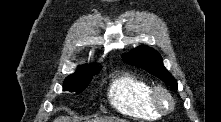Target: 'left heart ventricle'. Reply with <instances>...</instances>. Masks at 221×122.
<instances>
[{"label":"left heart ventricle","instance_id":"obj_1","mask_svg":"<svg viewBox=\"0 0 221 122\" xmlns=\"http://www.w3.org/2000/svg\"><path fill=\"white\" fill-rule=\"evenodd\" d=\"M163 102H164L165 104H167L166 100H163Z\"/></svg>","mask_w":221,"mask_h":122}]
</instances>
